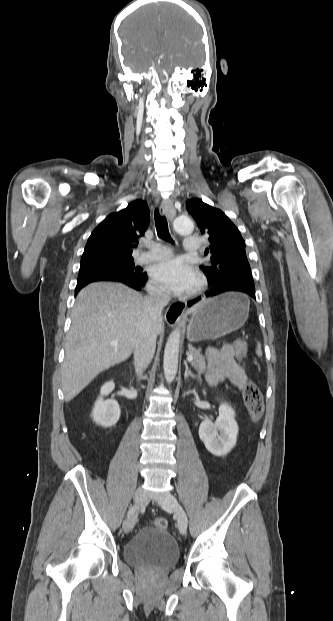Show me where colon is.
I'll use <instances>...</instances> for the list:
<instances>
[{"instance_id":"1","label":"colon","mask_w":333,"mask_h":621,"mask_svg":"<svg viewBox=\"0 0 333 621\" xmlns=\"http://www.w3.org/2000/svg\"><path fill=\"white\" fill-rule=\"evenodd\" d=\"M234 351L237 359L243 362L247 351L246 344L242 341L237 342ZM243 396L251 417L253 419L259 418L264 409L263 395L259 387L253 381H248L244 387ZM153 524L160 529H167L168 527V522L165 518H156Z\"/></svg>"}]
</instances>
